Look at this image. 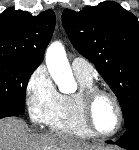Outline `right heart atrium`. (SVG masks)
<instances>
[{"label":"right heart atrium","mask_w":139,"mask_h":150,"mask_svg":"<svg viewBox=\"0 0 139 150\" xmlns=\"http://www.w3.org/2000/svg\"><path fill=\"white\" fill-rule=\"evenodd\" d=\"M25 93L26 106L31 120L38 124L45 123L58 92L43 66L36 68L30 75Z\"/></svg>","instance_id":"1"}]
</instances>
